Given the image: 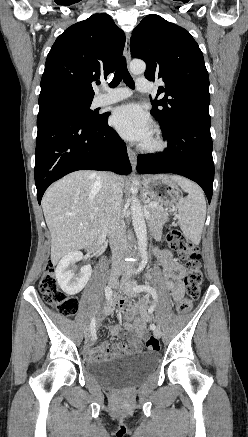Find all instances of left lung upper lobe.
Wrapping results in <instances>:
<instances>
[{
  "instance_id": "left-lung-upper-lobe-1",
  "label": "left lung upper lobe",
  "mask_w": 248,
  "mask_h": 437,
  "mask_svg": "<svg viewBox=\"0 0 248 437\" xmlns=\"http://www.w3.org/2000/svg\"><path fill=\"white\" fill-rule=\"evenodd\" d=\"M132 57L146 63L145 77L164 82L153 102L152 115L162 131L170 130L187 116H209V77L203 54L184 28L159 15L146 16L133 30Z\"/></svg>"
}]
</instances>
